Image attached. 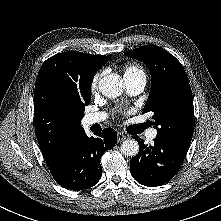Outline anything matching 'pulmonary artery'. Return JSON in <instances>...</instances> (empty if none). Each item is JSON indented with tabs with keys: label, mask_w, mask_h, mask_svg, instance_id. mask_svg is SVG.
Listing matches in <instances>:
<instances>
[{
	"label": "pulmonary artery",
	"mask_w": 221,
	"mask_h": 221,
	"mask_svg": "<svg viewBox=\"0 0 221 221\" xmlns=\"http://www.w3.org/2000/svg\"><path fill=\"white\" fill-rule=\"evenodd\" d=\"M124 81L126 84V88L127 91L131 94V95H137L139 93H141L144 90V87L146 85V78L145 77H128V76H124ZM106 118V114L103 112H95V113H91L88 114L85 119H84V124L86 126H90L93 125L95 123H100L102 121H104ZM157 136V130L156 129H150L147 133H146V138L149 141H152L156 138Z\"/></svg>",
	"instance_id": "obj_1"
}]
</instances>
